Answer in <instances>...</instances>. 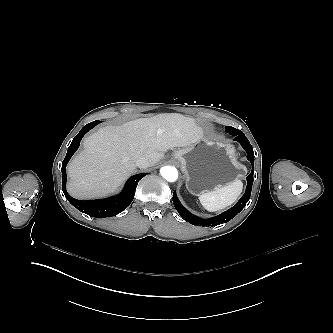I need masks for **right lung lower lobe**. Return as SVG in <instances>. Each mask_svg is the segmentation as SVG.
I'll use <instances>...</instances> for the list:
<instances>
[{
    "instance_id": "98d812e1",
    "label": "right lung lower lobe",
    "mask_w": 333,
    "mask_h": 333,
    "mask_svg": "<svg viewBox=\"0 0 333 333\" xmlns=\"http://www.w3.org/2000/svg\"><path fill=\"white\" fill-rule=\"evenodd\" d=\"M101 123V121H94L87 125H85L80 132L74 137L72 140V143L68 147V151L66 154V157L64 158L62 162V189L65 194V197L68 199V201L76 207L78 210H80L83 213L88 214L92 217H99V218H105V217H112L120 212H122L133 200L135 195V190L137 187V184L141 178H143L146 173L143 174H137L129 178V180L126 182V185L124 189L121 191L120 194L107 198V199H101V200H89V201H81L72 198L66 191V165L72 155L75 153V151L78 149L80 145V141L82 137L92 128H94L97 124Z\"/></svg>"
}]
</instances>
